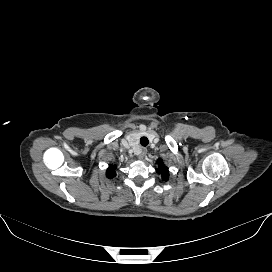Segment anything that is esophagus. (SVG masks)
Masks as SVG:
<instances>
[{"label":"esophagus","instance_id":"34e87169","mask_svg":"<svg viewBox=\"0 0 272 272\" xmlns=\"http://www.w3.org/2000/svg\"><path fill=\"white\" fill-rule=\"evenodd\" d=\"M147 150L145 148L140 149V151L137 152V156L140 160H142L144 158V156L146 155Z\"/></svg>","mask_w":272,"mask_h":272}]
</instances>
